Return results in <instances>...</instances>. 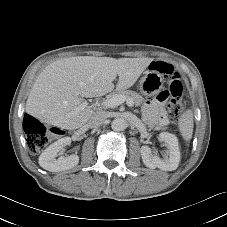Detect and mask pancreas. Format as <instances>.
<instances>
[{
	"label": "pancreas",
	"instance_id": "cf45deb5",
	"mask_svg": "<svg viewBox=\"0 0 227 227\" xmlns=\"http://www.w3.org/2000/svg\"><path fill=\"white\" fill-rule=\"evenodd\" d=\"M121 95L124 96L126 100L131 99L136 106H140L143 103V97L136 93L135 91L123 90L117 91L112 94V96Z\"/></svg>",
	"mask_w": 227,
	"mask_h": 227
}]
</instances>
